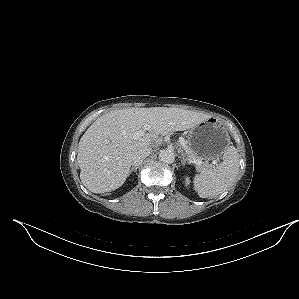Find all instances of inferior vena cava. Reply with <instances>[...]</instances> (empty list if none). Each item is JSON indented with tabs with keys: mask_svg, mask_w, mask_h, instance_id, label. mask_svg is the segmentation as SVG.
I'll return each mask as SVG.
<instances>
[{
	"mask_svg": "<svg viewBox=\"0 0 299 299\" xmlns=\"http://www.w3.org/2000/svg\"><path fill=\"white\" fill-rule=\"evenodd\" d=\"M151 153H152L151 148H144L134 152V154L131 157V165L139 166L143 162V160Z\"/></svg>",
	"mask_w": 299,
	"mask_h": 299,
	"instance_id": "obj_1",
	"label": "inferior vena cava"
}]
</instances>
